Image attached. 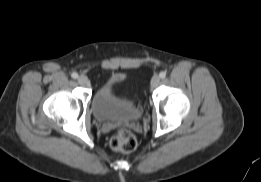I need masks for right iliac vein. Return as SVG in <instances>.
<instances>
[{
  "label": "right iliac vein",
  "instance_id": "63e3f726",
  "mask_svg": "<svg viewBox=\"0 0 261 182\" xmlns=\"http://www.w3.org/2000/svg\"><path fill=\"white\" fill-rule=\"evenodd\" d=\"M78 83L80 85H84L85 86V85H88L89 81H88V78L86 76L81 75V76L78 77Z\"/></svg>",
  "mask_w": 261,
  "mask_h": 182
}]
</instances>
